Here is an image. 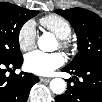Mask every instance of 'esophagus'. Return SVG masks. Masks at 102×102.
<instances>
[{"instance_id":"1","label":"esophagus","mask_w":102,"mask_h":102,"mask_svg":"<svg viewBox=\"0 0 102 102\" xmlns=\"http://www.w3.org/2000/svg\"><path fill=\"white\" fill-rule=\"evenodd\" d=\"M40 81H41V82H44V83H48V82L51 81V78H44V77H41V78H40Z\"/></svg>"}]
</instances>
